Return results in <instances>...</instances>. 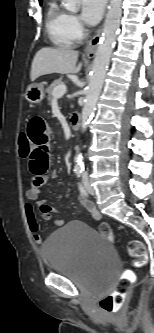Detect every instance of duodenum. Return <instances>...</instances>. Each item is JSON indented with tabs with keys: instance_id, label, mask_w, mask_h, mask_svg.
Returning <instances> with one entry per match:
<instances>
[{
	"instance_id": "1",
	"label": "duodenum",
	"mask_w": 154,
	"mask_h": 333,
	"mask_svg": "<svg viewBox=\"0 0 154 333\" xmlns=\"http://www.w3.org/2000/svg\"><path fill=\"white\" fill-rule=\"evenodd\" d=\"M70 126L73 130L77 131L81 126V115L79 112L74 111L70 117Z\"/></svg>"
}]
</instances>
